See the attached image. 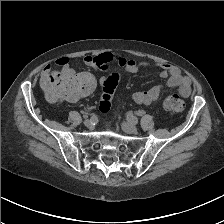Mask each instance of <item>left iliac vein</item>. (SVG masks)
<instances>
[{
	"mask_svg": "<svg viewBox=\"0 0 224 224\" xmlns=\"http://www.w3.org/2000/svg\"><path fill=\"white\" fill-rule=\"evenodd\" d=\"M121 126L123 131L127 134H135L138 131L137 127L129 122H123Z\"/></svg>",
	"mask_w": 224,
	"mask_h": 224,
	"instance_id": "obj_1",
	"label": "left iliac vein"
}]
</instances>
